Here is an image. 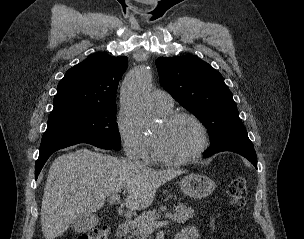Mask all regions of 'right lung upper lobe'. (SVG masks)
Returning <instances> with one entry per match:
<instances>
[{
	"label": "right lung upper lobe",
	"mask_w": 304,
	"mask_h": 239,
	"mask_svg": "<svg viewBox=\"0 0 304 239\" xmlns=\"http://www.w3.org/2000/svg\"><path fill=\"white\" fill-rule=\"evenodd\" d=\"M128 65L127 57L95 53L70 68L59 82L52 112L81 107L116 105L118 83Z\"/></svg>",
	"instance_id": "1"
}]
</instances>
